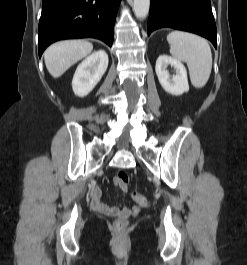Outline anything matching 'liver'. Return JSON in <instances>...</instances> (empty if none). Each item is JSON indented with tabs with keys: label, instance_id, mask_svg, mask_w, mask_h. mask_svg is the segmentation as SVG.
<instances>
[{
	"label": "liver",
	"instance_id": "liver-1",
	"mask_svg": "<svg viewBox=\"0 0 247 265\" xmlns=\"http://www.w3.org/2000/svg\"><path fill=\"white\" fill-rule=\"evenodd\" d=\"M92 50V43L83 40L54 43L44 53L47 70L54 78H58L72 65L89 55Z\"/></svg>",
	"mask_w": 247,
	"mask_h": 265
}]
</instances>
